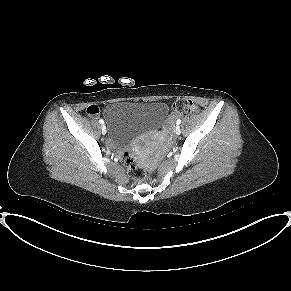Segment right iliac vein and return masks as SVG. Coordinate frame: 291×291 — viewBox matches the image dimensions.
<instances>
[{
	"label": "right iliac vein",
	"mask_w": 291,
	"mask_h": 291,
	"mask_svg": "<svg viewBox=\"0 0 291 291\" xmlns=\"http://www.w3.org/2000/svg\"><path fill=\"white\" fill-rule=\"evenodd\" d=\"M101 131H102V134L106 133V127L104 125L102 126Z\"/></svg>",
	"instance_id": "right-iliac-vein-1"
}]
</instances>
